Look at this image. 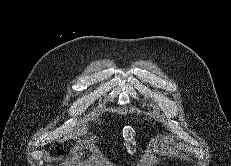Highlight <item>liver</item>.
I'll return each instance as SVG.
<instances>
[{
  "mask_svg": "<svg viewBox=\"0 0 231 166\" xmlns=\"http://www.w3.org/2000/svg\"><path fill=\"white\" fill-rule=\"evenodd\" d=\"M86 131H87V127L83 125L82 127L78 128L73 135H67L64 139L60 140V142L66 141L71 138H76L77 136L84 135Z\"/></svg>",
  "mask_w": 231,
  "mask_h": 166,
  "instance_id": "1",
  "label": "liver"
}]
</instances>
